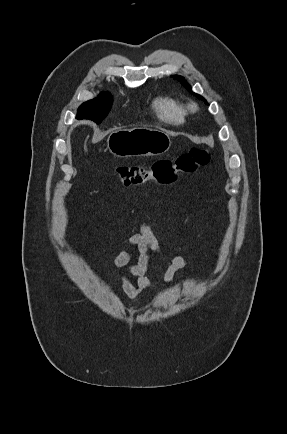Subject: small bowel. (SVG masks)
I'll use <instances>...</instances> for the list:
<instances>
[{"label":"small bowel","instance_id":"1","mask_svg":"<svg viewBox=\"0 0 287 434\" xmlns=\"http://www.w3.org/2000/svg\"><path fill=\"white\" fill-rule=\"evenodd\" d=\"M161 215H168V209H159ZM184 244L166 245L160 244L151 235L147 223L140 225L139 231L129 237V246L126 251L113 260L116 268L123 269L122 288L129 299L137 298L144 290L158 285L160 282H171L176 274L185 267V259L182 255ZM138 251L136 262L132 261L133 252ZM153 255L168 256L172 258L171 265L166 270L161 280L146 276L150 258Z\"/></svg>","mask_w":287,"mask_h":434}]
</instances>
